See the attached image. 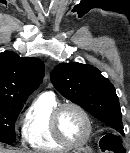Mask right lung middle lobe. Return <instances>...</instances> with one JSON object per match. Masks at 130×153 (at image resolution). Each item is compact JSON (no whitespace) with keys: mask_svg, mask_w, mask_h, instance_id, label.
<instances>
[{"mask_svg":"<svg viewBox=\"0 0 130 153\" xmlns=\"http://www.w3.org/2000/svg\"><path fill=\"white\" fill-rule=\"evenodd\" d=\"M23 104L0 103V142L13 144L16 140L14 123Z\"/></svg>","mask_w":130,"mask_h":153,"instance_id":"dd1d6c3e","label":"right lung middle lobe"}]
</instances>
